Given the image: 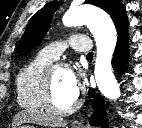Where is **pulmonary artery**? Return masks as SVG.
Wrapping results in <instances>:
<instances>
[{"mask_svg":"<svg viewBox=\"0 0 142 128\" xmlns=\"http://www.w3.org/2000/svg\"><path fill=\"white\" fill-rule=\"evenodd\" d=\"M67 47L86 54L90 53L92 50L91 41L87 36L73 34L67 40L56 41L45 46L40 53L51 60H56Z\"/></svg>","mask_w":142,"mask_h":128,"instance_id":"pulmonary-artery-1","label":"pulmonary artery"}]
</instances>
